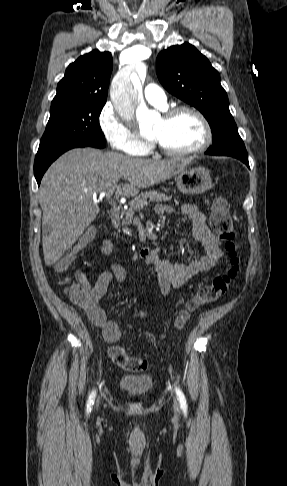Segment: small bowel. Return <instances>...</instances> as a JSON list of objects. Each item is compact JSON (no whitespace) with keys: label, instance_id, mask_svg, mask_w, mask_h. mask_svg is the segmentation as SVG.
Instances as JSON below:
<instances>
[{"label":"small bowel","instance_id":"c3829d8e","mask_svg":"<svg viewBox=\"0 0 287 486\" xmlns=\"http://www.w3.org/2000/svg\"><path fill=\"white\" fill-rule=\"evenodd\" d=\"M155 210L159 215L174 213V210L168 205H158ZM180 213L190 221L192 248L201 251L202 254L191 262H174L166 258L160 249H155L146 257V262L152 265L157 273L159 289L163 295L169 294L172 288L181 287L199 273L211 270L224 256L221 240L210 230L205 215L196 206L185 204L181 207ZM100 251L103 256L111 255L113 252L112 241L104 239L101 242ZM125 276V270L117 263L110 264L109 269L103 271L94 284L88 282L83 275H78V280L89 296L88 303L84 306L88 318L101 330L104 340L108 343L118 341L121 330L116 322L107 318L100 305V300L106 294L113 278L122 282ZM135 316L144 318L147 316V312L138 311Z\"/></svg>","mask_w":287,"mask_h":486}]
</instances>
